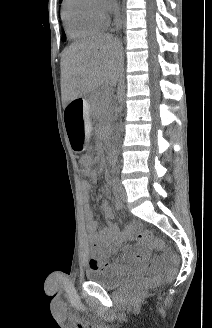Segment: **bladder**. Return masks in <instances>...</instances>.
I'll use <instances>...</instances> for the list:
<instances>
[{"label": "bladder", "mask_w": 212, "mask_h": 328, "mask_svg": "<svg viewBox=\"0 0 212 328\" xmlns=\"http://www.w3.org/2000/svg\"><path fill=\"white\" fill-rule=\"evenodd\" d=\"M86 277L89 281L98 283L108 290H120L134 281L137 278V274L92 269L86 272Z\"/></svg>", "instance_id": "1"}]
</instances>
